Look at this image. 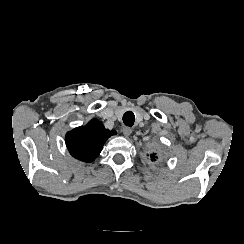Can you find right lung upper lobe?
<instances>
[{
    "label": "right lung upper lobe",
    "instance_id": "cb5924a9",
    "mask_svg": "<svg viewBox=\"0 0 244 244\" xmlns=\"http://www.w3.org/2000/svg\"><path fill=\"white\" fill-rule=\"evenodd\" d=\"M115 134V131L105 129L100 121L92 119L86 126L68 132L66 145L76 159L89 163L100 154L106 140Z\"/></svg>",
    "mask_w": 244,
    "mask_h": 244
}]
</instances>
